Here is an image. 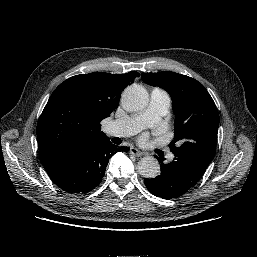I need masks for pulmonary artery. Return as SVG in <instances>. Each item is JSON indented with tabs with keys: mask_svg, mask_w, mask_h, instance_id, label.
Returning a JSON list of instances; mask_svg holds the SVG:
<instances>
[{
	"mask_svg": "<svg viewBox=\"0 0 257 257\" xmlns=\"http://www.w3.org/2000/svg\"><path fill=\"white\" fill-rule=\"evenodd\" d=\"M170 105L169 94L162 89L154 88L150 94L149 104L143 112L110 121L106 126V132L117 137L136 134L142 128L157 123L168 112ZM173 157L172 153L167 154L169 160Z\"/></svg>",
	"mask_w": 257,
	"mask_h": 257,
	"instance_id": "obj_1",
	"label": "pulmonary artery"
}]
</instances>
